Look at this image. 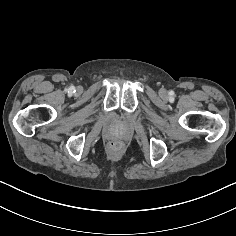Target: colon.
I'll return each instance as SVG.
<instances>
[{"label": "colon", "instance_id": "colon-1", "mask_svg": "<svg viewBox=\"0 0 236 236\" xmlns=\"http://www.w3.org/2000/svg\"><path fill=\"white\" fill-rule=\"evenodd\" d=\"M112 146H114V147H118L119 144H118V143H112Z\"/></svg>", "mask_w": 236, "mask_h": 236}]
</instances>
